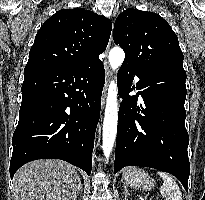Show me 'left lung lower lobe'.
I'll return each mask as SVG.
<instances>
[{"label":"left lung lower lobe","instance_id":"obj_1","mask_svg":"<svg viewBox=\"0 0 205 200\" xmlns=\"http://www.w3.org/2000/svg\"><path fill=\"white\" fill-rule=\"evenodd\" d=\"M133 75L140 79L137 96L128 95ZM185 81L186 72L181 66L140 72L121 66L118 92L124 101L118 114L114 173L129 165L151 167L173 174L188 191ZM138 95L144 101L140 107Z\"/></svg>","mask_w":205,"mask_h":200}]
</instances>
